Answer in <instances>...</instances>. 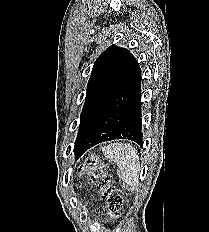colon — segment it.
Segmentation results:
<instances>
[{"label": "colon", "mask_w": 209, "mask_h": 232, "mask_svg": "<svg viewBox=\"0 0 209 232\" xmlns=\"http://www.w3.org/2000/svg\"><path fill=\"white\" fill-rule=\"evenodd\" d=\"M87 174L101 196L107 201L109 212L118 216L122 209L123 198L113 186L109 174L97 158H90L87 164Z\"/></svg>", "instance_id": "obj_1"}]
</instances>
